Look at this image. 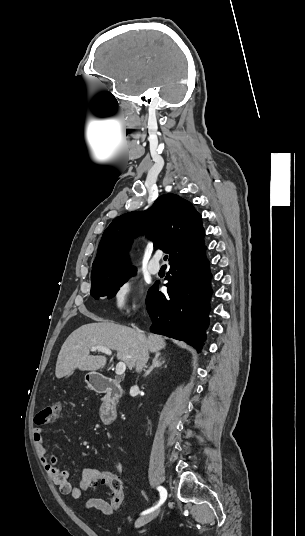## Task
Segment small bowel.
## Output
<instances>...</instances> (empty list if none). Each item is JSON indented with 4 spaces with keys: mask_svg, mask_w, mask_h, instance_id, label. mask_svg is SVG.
<instances>
[{
    "mask_svg": "<svg viewBox=\"0 0 305 536\" xmlns=\"http://www.w3.org/2000/svg\"><path fill=\"white\" fill-rule=\"evenodd\" d=\"M33 441L41 465L54 484L59 488L61 494L68 495L73 499H79L84 492L94 486V468L91 467L83 470L77 486L71 485L69 482V471L59 468L58 458L48 453L44 444L43 429H33ZM85 508L96 509L107 516H112L115 513V508L112 504L100 497H92L86 500Z\"/></svg>",
    "mask_w": 305,
    "mask_h": 536,
    "instance_id": "1",
    "label": "small bowel"
}]
</instances>
